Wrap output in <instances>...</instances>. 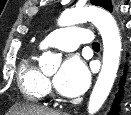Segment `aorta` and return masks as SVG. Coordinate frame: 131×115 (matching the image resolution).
I'll return each instance as SVG.
<instances>
[{"mask_svg":"<svg viewBox=\"0 0 131 115\" xmlns=\"http://www.w3.org/2000/svg\"><path fill=\"white\" fill-rule=\"evenodd\" d=\"M83 21H92L99 30L103 40V64L97 82L91 93L88 112L96 113L108 97L119 67L121 54V38L119 29L112 15L97 7L75 8L62 13L58 20L59 26H71ZM56 57L45 52L40 57L42 71L52 70Z\"/></svg>","mask_w":131,"mask_h":115,"instance_id":"aorta-1","label":"aorta"}]
</instances>
